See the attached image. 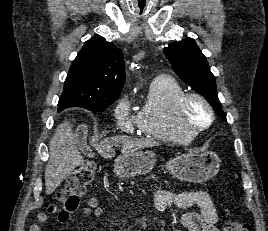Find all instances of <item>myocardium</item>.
Returning a JSON list of instances; mask_svg holds the SVG:
<instances>
[{
	"label": "myocardium",
	"instance_id": "obj_1",
	"mask_svg": "<svg viewBox=\"0 0 268 231\" xmlns=\"http://www.w3.org/2000/svg\"><path fill=\"white\" fill-rule=\"evenodd\" d=\"M191 101H198L203 106H205L209 113V121L206 124L197 126L193 129L189 128L184 122V114L186 111V107ZM174 116L178 130L183 133L187 137V139H189L197 136L212 125L214 120V110L209 101L204 96L199 93L188 92L182 94L177 99L175 103Z\"/></svg>",
	"mask_w": 268,
	"mask_h": 231
}]
</instances>
